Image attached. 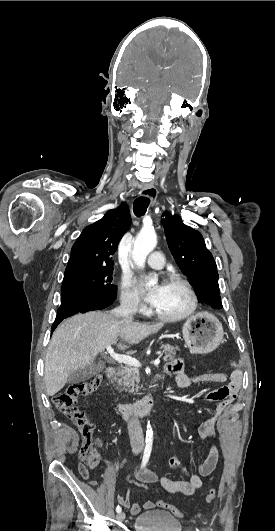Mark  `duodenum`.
Listing matches in <instances>:
<instances>
[{
  "label": "duodenum",
  "instance_id": "duodenum-1",
  "mask_svg": "<svg viewBox=\"0 0 275 531\" xmlns=\"http://www.w3.org/2000/svg\"><path fill=\"white\" fill-rule=\"evenodd\" d=\"M116 367L108 366L104 370V376L107 380H110L115 376ZM161 380V375H157L154 378V384L156 385ZM155 406V399L152 395H148L145 398L133 402V403H117L116 410L124 418L141 417Z\"/></svg>",
  "mask_w": 275,
  "mask_h": 531
}]
</instances>
